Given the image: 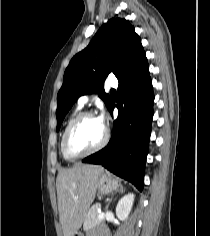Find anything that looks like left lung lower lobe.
Here are the masks:
<instances>
[{
  "label": "left lung lower lobe",
  "instance_id": "obj_1",
  "mask_svg": "<svg viewBox=\"0 0 210 236\" xmlns=\"http://www.w3.org/2000/svg\"><path fill=\"white\" fill-rule=\"evenodd\" d=\"M119 110L108 145L82 162L99 164L143 189L146 156L151 133L154 94L145 61L118 86ZM115 104L109 111L112 114Z\"/></svg>",
  "mask_w": 210,
  "mask_h": 236
}]
</instances>
